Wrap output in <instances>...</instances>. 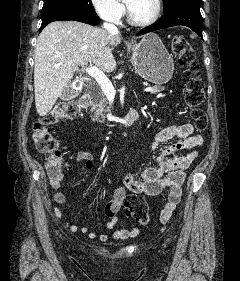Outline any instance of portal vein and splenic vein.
<instances>
[{
	"label": "portal vein and splenic vein",
	"instance_id": "1",
	"mask_svg": "<svg viewBox=\"0 0 240 281\" xmlns=\"http://www.w3.org/2000/svg\"><path fill=\"white\" fill-rule=\"evenodd\" d=\"M84 71L96 80V82L99 84L101 90L107 98L115 97L116 90L114 89L111 81L100 69L90 64V66L85 68ZM153 89V87H146L144 91L150 92L153 91Z\"/></svg>",
	"mask_w": 240,
	"mask_h": 281
}]
</instances>
